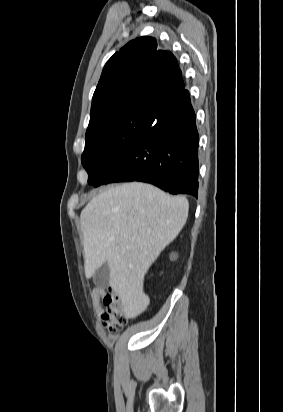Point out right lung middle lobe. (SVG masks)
<instances>
[{"instance_id": "obj_1", "label": "right lung middle lobe", "mask_w": 283, "mask_h": 412, "mask_svg": "<svg viewBox=\"0 0 283 412\" xmlns=\"http://www.w3.org/2000/svg\"><path fill=\"white\" fill-rule=\"evenodd\" d=\"M162 109L159 105H132L88 126L81 161L88 172L89 184L121 158Z\"/></svg>"}]
</instances>
